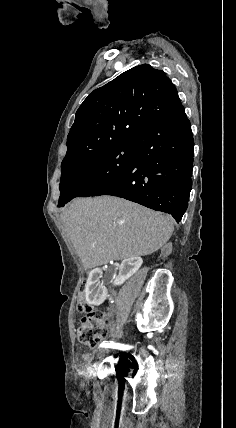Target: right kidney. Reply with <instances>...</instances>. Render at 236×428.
<instances>
[{
	"mask_svg": "<svg viewBox=\"0 0 236 428\" xmlns=\"http://www.w3.org/2000/svg\"><path fill=\"white\" fill-rule=\"evenodd\" d=\"M142 264L143 260L140 256H130V258L123 260L119 266V276L116 278V286H121L126 280H129V278L141 268ZM103 276V269H92L89 274L85 292L86 300L88 304H92V306H99V304H102L104 298L103 294L99 292L108 291L107 283H97V278H103ZM94 290H96V292H94Z\"/></svg>",
	"mask_w": 236,
	"mask_h": 428,
	"instance_id": "ca27d5eb",
	"label": "right kidney"
}]
</instances>
